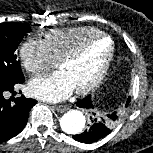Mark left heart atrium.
Wrapping results in <instances>:
<instances>
[{
    "mask_svg": "<svg viewBox=\"0 0 153 153\" xmlns=\"http://www.w3.org/2000/svg\"><path fill=\"white\" fill-rule=\"evenodd\" d=\"M29 93L39 99L58 102L69 97L74 87L67 75L59 70L50 75L42 76L30 81Z\"/></svg>",
    "mask_w": 153,
    "mask_h": 153,
    "instance_id": "1",
    "label": "left heart atrium"
}]
</instances>
